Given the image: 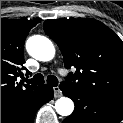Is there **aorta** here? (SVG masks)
<instances>
[{"mask_svg": "<svg viewBox=\"0 0 123 123\" xmlns=\"http://www.w3.org/2000/svg\"><path fill=\"white\" fill-rule=\"evenodd\" d=\"M27 52L39 61H50L55 55V47L50 39L41 35H34L26 42ZM55 110L59 115L69 116L74 110V103L68 97H61L55 103Z\"/></svg>", "mask_w": 123, "mask_h": 123, "instance_id": "obj_1", "label": "aorta"}]
</instances>
